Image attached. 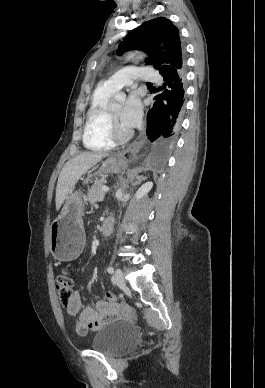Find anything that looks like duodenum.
Here are the masks:
<instances>
[{
    "instance_id": "obj_1",
    "label": "duodenum",
    "mask_w": 265,
    "mask_h": 388,
    "mask_svg": "<svg viewBox=\"0 0 265 388\" xmlns=\"http://www.w3.org/2000/svg\"><path fill=\"white\" fill-rule=\"evenodd\" d=\"M114 219L112 217H107L104 219L102 226H101V231L103 235H109L112 233V230L114 228Z\"/></svg>"
}]
</instances>
